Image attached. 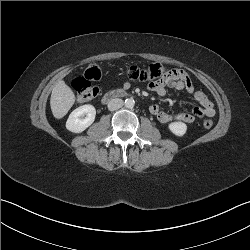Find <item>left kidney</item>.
I'll list each match as a JSON object with an SVG mask.
<instances>
[{"instance_id":"1","label":"left kidney","mask_w":250,"mask_h":250,"mask_svg":"<svg viewBox=\"0 0 250 250\" xmlns=\"http://www.w3.org/2000/svg\"><path fill=\"white\" fill-rule=\"evenodd\" d=\"M168 128L174 135L179 137H182L187 131V125L180 121L170 123Z\"/></svg>"}]
</instances>
